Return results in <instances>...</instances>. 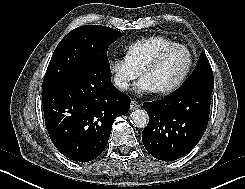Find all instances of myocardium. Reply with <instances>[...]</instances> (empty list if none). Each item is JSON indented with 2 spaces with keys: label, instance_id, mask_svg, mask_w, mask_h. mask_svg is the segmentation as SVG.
<instances>
[{
  "label": "myocardium",
  "instance_id": "myocardium-1",
  "mask_svg": "<svg viewBox=\"0 0 245 189\" xmlns=\"http://www.w3.org/2000/svg\"><path fill=\"white\" fill-rule=\"evenodd\" d=\"M177 48H181L184 49L189 57V62H188V66L186 68V70L184 71V73L182 74V76L172 85L161 89L159 91H157L158 94L160 95H169L171 93H174L175 91H177L178 89H180L184 83L187 81V79L189 78L192 69L194 67V54L191 51V49L189 47H187L184 44L181 43H172L169 45H166L164 47H162L143 67V69L141 70V76L143 77L145 75L146 72H148L149 70L155 68L161 61L162 59L165 57V55L170 52L173 49H177Z\"/></svg>",
  "mask_w": 245,
  "mask_h": 189
}]
</instances>
